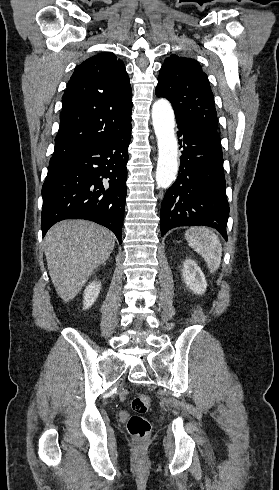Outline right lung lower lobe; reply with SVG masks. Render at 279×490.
<instances>
[{"label":"right lung lower lobe","instance_id":"obj_1","mask_svg":"<svg viewBox=\"0 0 279 490\" xmlns=\"http://www.w3.org/2000/svg\"><path fill=\"white\" fill-rule=\"evenodd\" d=\"M131 129L50 165L42 187V232L64 219L101 224L122 241Z\"/></svg>","mask_w":279,"mask_h":490}]
</instances>
